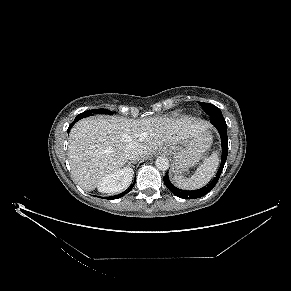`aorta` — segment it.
I'll list each match as a JSON object with an SVG mask.
<instances>
[{
	"mask_svg": "<svg viewBox=\"0 0 291 291\" xmlns=\"http://www.w3.org/2000/svg\"><path fill=\"white\" fill-rule=\"evenodd\" d=\"M155 166L159 170H167L169 167V160L166 157L160 156L155 160Z\"/></svg>",
	"mask_w": 291,
	"mask_h": 291,
	"instance_id": "1",
	"label": "aorta"
}]
</instances>
